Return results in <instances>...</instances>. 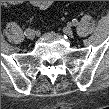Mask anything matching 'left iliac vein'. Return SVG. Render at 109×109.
I'll list each match as a JSON object with an SVG mask.
<instances>
[{"label":"left iliac vein","mask_w":109,"mask_h":109,"mask_svg":"<svg viewBox=\"0 0 109 109\" xmlns=\"http://www.w3.org/2000/svg\"><path fill=\"white\" fill-rule=\"evenodd\" d=\"M63 32L69 37L73 36V30L69 26L64 27Z\"/></svg>","instance_id":"4c4485c4"}]
</instances>
